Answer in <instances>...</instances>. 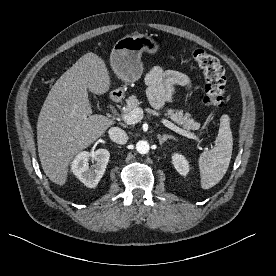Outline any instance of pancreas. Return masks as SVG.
Here are the masks:
<instances>
[{
	"label": "pancreas",
	"instance_id": "cf45deb5",
	"mask_svg": "<svg viewBox=\"0 0 276 276\" xmlns=\"http://www.w3.org/2000/svg\"><path fill=\"white\" fill-rule=\"evenodd\" d=\"M126 103L127 105L125 107L124 113L128 114L133 109L139 107L142 102L137 98L136 95H131L126 100ZM164 114L178 125L183 126V128L186 130H197L200 127L199 123L195 122L189 114H183L182 110L166 108L164 110Z\"/></svg>",
	"mask_w": 276,
	"mask_h": 276
}]
</instances>
